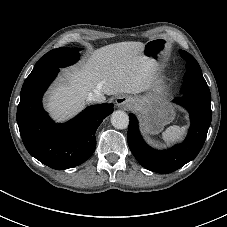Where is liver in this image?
<instances>
[{"instance_id":"obj_1","label":"liver","mask_w":227,"mask_h":227,"mask_svg":"<svg viewBox=\"0 0 227 227\" xmlns=\"http://www.w3.org/2000/svg\"><path fill=\"white\" fill-rule=\"evenodd\" d=\"M142 42H119L93 51L80 68L66 72L49 91L46 108L58 120L82 109L91 92L138 94L150 87L156 62Z\"/></svg>"}]
</instances>
